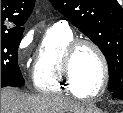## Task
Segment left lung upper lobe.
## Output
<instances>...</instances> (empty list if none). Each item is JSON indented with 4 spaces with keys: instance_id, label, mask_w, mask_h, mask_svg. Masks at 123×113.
Returning a JSON list of instances; mask_svg holds the SVG:
<instances>
[{
    "instance_id": "5c2ea615",
    "label": "left lung upper lobe",
    "mask_w": 123,
    "mask_h": 113,
    "mask_svg": "<svg viewBox=\"0 0 123 113\" xmlns=\"http://www.w3.org/2000/svg\"><path fill=\"white\" fill-rule=\"evenodd\" d=\"M102 51L109 66L108 90L123 100V10L117 0H50Z\"/></svg>"
}]
</instances>
